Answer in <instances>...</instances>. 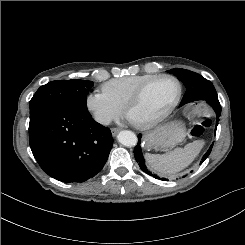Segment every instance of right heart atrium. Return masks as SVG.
Masks as SVG:
<instances>
[{"instance_id": "obj_1", "label": "right heart atrium", "mask_w": 245, "mask_h": 245, "mask_svg": "<svg viewBox=\"0 0 245 245\" xmlns=\"http://www.w3.org/2000/svg\"><path fill=\"white\" fill-rule=\"evenodd\" d=\"M85 107L93 119L103 126L110 125L123 114V108L100 91H93L87 94Z\"/></svg>"}]
</instances>
